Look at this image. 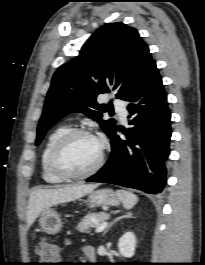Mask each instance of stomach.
<instances>
[{
  "instance_id": "1",
  "label": "stomach",
  "mask_w": 205,
  "mask_h": 265,
  "mask_svg": "<svg viewBox=\"0 0 205 265\" xmlns=\"http://www.w3.org/2000/svg\"><path fill=\"white\" fill-rule=\"evenodd\" d=\"M88 202L91 207L118 206L120 199L111 189H99L89 193ZM39 224L44 232L51 235L59 233L62 228L60 216L52 208L41 213Z\"/></svg>"
}]
</instances>
